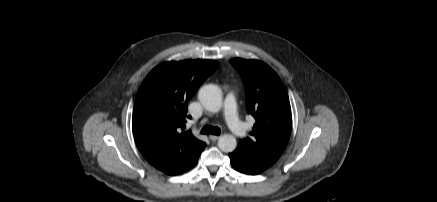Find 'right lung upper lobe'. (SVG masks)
Instances as JSON below:
<instances>
[{
	"mask_svg": "<svg viewBox=\"0 0 437 202\" xmlns=\"http://www.w3.org/2000/svg\"><path fill=\"white\" fill-rule=\"evenodd\" d=\"M218 66L212 60L164 62L142 82L133 108V135L141 154L160 171L174 175L205 148L184 131L187 102Z\"/></svg>",
	"mask_w": 437,
	"mask_h": 202,
	"instance_id": "obj_1",
	"label": "right lung upper lobe"
}]
</instances>
